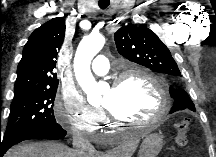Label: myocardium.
<instances>
[{
    "instance_id": "f54148a6",
    "label": "myocardium",
    "mask_w": 216,
    "mask_h": 157,
    "mask_svg": "<svg viewBox=\"0 0 216 157\" xmlns=\"http://www.w3.org/2000/svg\"><path fill=\"white\" fill-rule=\"evenodd\" d=\"M131 77H139L147 80L157 91L160 99V105L156 112V114L148 119V120H142V121H132L125 118L118 117L115 115L108 107L103 106L104 110L106 111L110 121L114 125H130V126H149V125H155L163 120L165 115L167 114L169 110V97L166 89L163 87V85L150 73L143 69H130L117 77H115L111 83V87L113 89H117L124 81Z\"/></svg>"
}]
</instances>
